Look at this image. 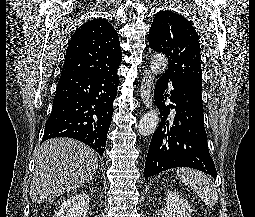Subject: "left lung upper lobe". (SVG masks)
Listing matches in <instances>:
<instances>
[{"label": "left lung upper lobe", "mask_w": 255, "mask_h": 217, "mask_svg": "<svg viewBox=\"0 0 255 217\" xmlns=\"http://www.w3.org/2000/svg\"><path fill=\"white\" fill-rule=\"evenodd\" d=\"M149 45L167 56L166 72L202 89L199 37L186 18L171 11L156 14L149 31Z\"/></svg>", "instance_id": "left-lung-upper-lobe-1"}]
</instances>
